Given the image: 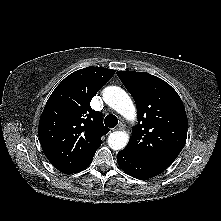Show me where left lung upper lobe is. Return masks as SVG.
Here are the masks:
<instances>
[{"label":"left lung upper lobe","instance_id":"1","mask_svg":"<svg viewBox=\"0 0 221 221\" xmlns=\"http://www.w3.org/2000/svg\"><path fill=\"white\" fill-rule=\"evenodd\" d=\"M117 75L138 112V124L124 150L165 170L187 138V116L179 95L168 83L146 72L118 71Z\"/></svg>","mask_w":221,"mask_h":221}]
</instances>
